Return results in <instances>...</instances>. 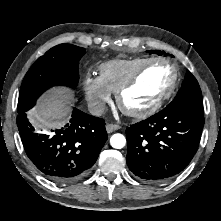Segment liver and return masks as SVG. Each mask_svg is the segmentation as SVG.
Segmentation results:
<instances>
[{
    "mask_svg": "<svg viewBox=\"0 0 221 221\" xmlns=\"http://www.w3.org/2000/svg\"><path fill=\"white\" fill-rule=\"evenodd\" d=\"M71 100L67 90L55 89L39 100L29 113L30 119L39 127L58 126L69 117Z\"/></svg>",
    "mask_w": 221,
    "mask_h": 221,
    "instance_id": "obj_1",
    "label": "liver"
}]
</instances>
